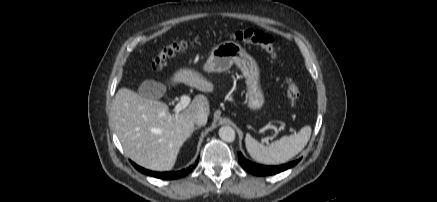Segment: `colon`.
Masks as SVG:
<instances>
[{"label": "colon", "instance_id": "1", "mask_svg": "<svg viewBox=\"0 0 437 202\" xmlns=\"http://www.w3.org/2000/svg\"><path fill=\"white\" fill-rule=\"evenodd\" d=\"M232 40L240 43L258 45L268 52L273 58H278L280 48L272 35L257 29H242L227 35ZM189 43L185 40L174 41L164 45L153 57L151 66L153 70H161L167 59L187 48ZM287 99L295 105L300 98V89L293 78L287 80Z\"/></svg>", "mask_w": 437, "mask_h": 202}]
</instances>
